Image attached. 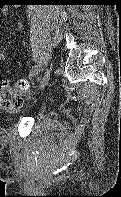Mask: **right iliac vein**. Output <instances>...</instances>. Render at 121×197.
I'll return each mask as SVG.
<instances>
[{"label": "right iliac vein", "instance_id": "right-iliac-vein-1", "mask_svg": "<svg viewBox=\"0 0 121 197\" xmlns=\"http://www.w3.org/2000/svg\"><path fill=\"white\" fill-rule=\"evenodd\" d=\"M49 79H50V70H46V72L41 80L39 89H43L47 85Z\"/></svg>", "mask_w": 121, "mask_h": 197}]
</instances>
